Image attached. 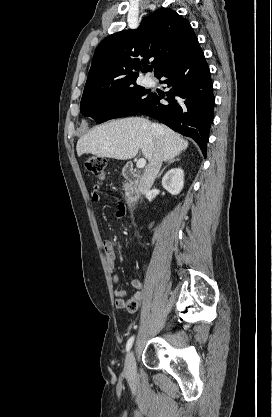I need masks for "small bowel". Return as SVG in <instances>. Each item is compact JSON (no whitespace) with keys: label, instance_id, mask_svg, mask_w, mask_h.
<instances>
[{"label":"small bowel","instance_id":"c3829d8e","mask_svg":"<svg viewBox=\"0 0 272 417\" xmlns=\"http://www.w3.org/2000/svg\"><path fill=\"white\" fill-rule=\"evenodd\" d=\"M104 192L102 191L101 187L99 185H95L93 187V191L91 193V199L93 202H99L101 199V195ZM118 217H123L125 215V208L122 203H119ZM104 252L106 255L107 263L111 271H113L115 264H116V252L115 248L111 241L106 240L103 243ZM113 284L115 286V301L116 305L119 308H125L127 307L128 302L126 301V296L128 293L125 290H122L119 288V278L116 274H112ZM143 282L140 279H133L131 281V287L133 289V295L131 296L129 301H135L139 303L142 296V289H143Z\"/></svg>","mask_w":272,"mask_h":417}]
</instances>
